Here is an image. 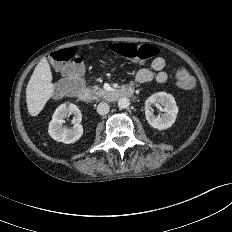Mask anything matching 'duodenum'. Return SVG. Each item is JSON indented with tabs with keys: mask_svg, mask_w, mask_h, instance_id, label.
<instances>
[{
	"mask_svg": "<svg viewBox=\"0 0 232 232\" xmlns=\"http://www.w3.org/2000/svg\"><path fill=\"white\" fill-rule=\"evenodd\" d=\"M133 94L134 89L128 86L115 91L107 92L104 96V99L108 102H115L122 98H129L133 96ZM77 97L80 101L85 103H88L92 100L91 93L85 88L79 89V91L77 92Z\"/></svg>",
	"mask_w": 232,
	"mask_h": 232,
	"instance_id": "410a0bca",
	"label": "duodenum"
}]
</instances>
